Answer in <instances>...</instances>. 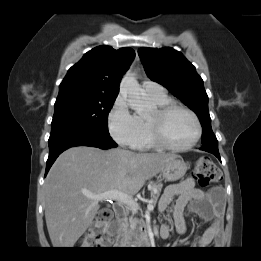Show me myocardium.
Instances as JSON below:
<instances>
[{
	"label": "myocardium",
	"instance_id": "obj_1",
	"mask_svg": "<svg viewBox=\"0 0 261 261\" xmlns=\"http://www.w3.org/2000/svg\"><path fill=\"white\" fill-rule=\"evenodd\" d=\"M173 110H182L188 113L192 117L195 123L196 133L193 140L183 146H177L169 143L163 135V131H162L163 120ZM147 124H148L150 137L153 143L155 144V146L168 151L183 152L189 150L198 143L202 135V126L197 114L187 106L176 102H168L165 105L155 107L151 112V114L147 116Z\"/></svg>",
	"mask_w": 261,
	"mask_h": 261
}]
</instances>
